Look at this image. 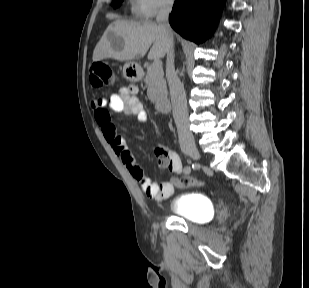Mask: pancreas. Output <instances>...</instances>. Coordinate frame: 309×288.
<instances>
[{
	"mask_svg": "<svg viewBox=\"0 0 309 288\" xmlns=\"http://www.w3.org/2000/svg\"><path fill=\"white\" fill-rule=\"evenodd\" d=\"M147 84V96L152 103H158L167 97V86L162 68L154 69L147 65V73L144 78Z\"/></svg>",
	"mask_w": 309,
	"mask_h": 288,
	"instance_id": "obj_1",
	"label": "pancreas"
}]
</instances>
